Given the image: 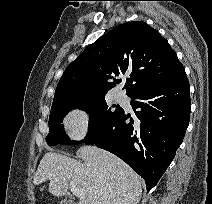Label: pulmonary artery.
<instances>
[{"label":"pulmonary artery","instance_id":"pulmonary-artery-1","mask_svg":"<svg viewBox=\"0 0 212 204\" xmlns=\"http://www.w3.org/2000/svg\"><path fill=\"white\" fill-rule=\"evenodd\" d=\"M114 97H115L116 101H123L125 98L123 93H121V92H117Z\"/></svg>","mask_w":212,"mask_h":204}]
</instances>
